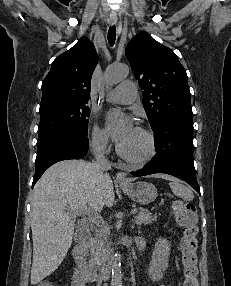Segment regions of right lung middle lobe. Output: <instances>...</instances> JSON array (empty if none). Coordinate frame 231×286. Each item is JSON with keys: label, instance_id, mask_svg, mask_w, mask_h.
Listing matches in <instances>:
<instances>
[{"label": "right lung middle lobe", "instance_id": "1", "mask_svg": "<svg viewBox=\"0 0 231 286\" xmlns=\"http://www.w3.org/2000/svg\"><path fill=\"white\" fill-rule=\"evenodd\" d=\"M38 140L58 132L87 135L90 110L86 102L58 101L40 106Z\"/></svg>", "mask_w": 231, "mask_h": 286}]
</instances>
